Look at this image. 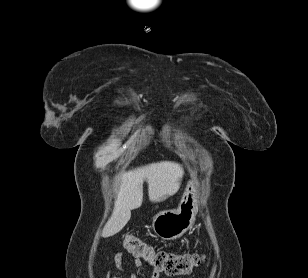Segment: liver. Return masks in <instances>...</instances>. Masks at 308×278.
<instances>
[{
	"mask_svg": "<svg viewBox=\"0 0 308 278\" xmlns=\"http://www.w3.org/2000/svg\"><path fill=\"white\" fill-rule=\"evenodd\" d=\"M183 175L182 166L170 161L152 163L122 172L114 209L102 230V237L107 238L121 231L130 220L131 210L142 205L144 180L148 184L149 200L157 203L178 191Z\"/></svg>",
	"mask_w": 308,
	"mask_h": 278,
	"instance_id": "liver-1",
	"label": "liver"
}]
</instances>
